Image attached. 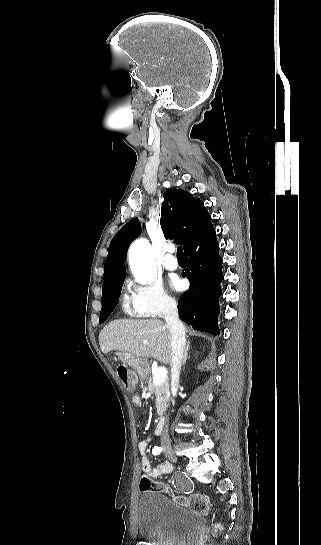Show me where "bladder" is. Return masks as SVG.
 Segmentation results:
<instances>
[{
    "label": "bladder",
    "mask_w": 321,
    "mask_h": 545,
    "mask_svg": "<svg viewBox=\"0 0 321 545\" xmlns=\"http://www.w3.org/2000/svg\"><path fill=\"white\" fill-rule=\"evenodd\" d=\"M141 538L152 545H192L205 529L201 513L161 491L143 493L137 506Z\"/></svg>",
    "instance_id": "1"
}]
</instances>
